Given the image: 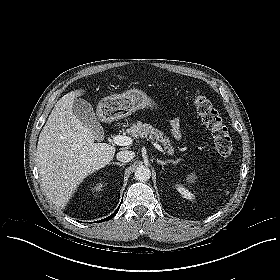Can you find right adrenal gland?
I'll list each match as a JSON object with an SVG mask.
<instances>
[{
    "mask_svg": "<svg viewBox=\"0 0 280 280\" xmlns=\"http://www.w3.org/2000/svg\"><path fill=\"white\" fill-rule=\"evenodd\" d=\"M113 164L118 165L120 167L124 165V163H120V162H113Z\"/></svg>",
    "mask_w": 280,
    "mask_h": 280,
    "instance_id": "1",
    "label": "right adrenal gland"
}]
</instances>
